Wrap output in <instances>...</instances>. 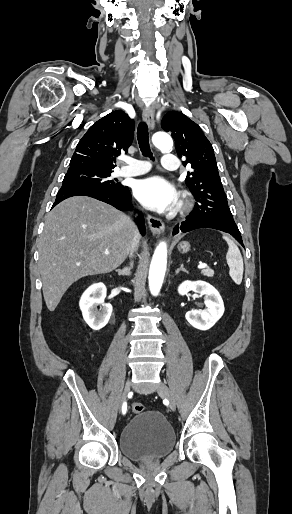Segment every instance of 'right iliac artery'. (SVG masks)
Instances as JSON below:
<instances>
[{
  "label": "right iliac artery",
  "instance_id": "right-iliac-artery-1",
  "mask_svg": "<svg viewBox=\"0 0 292 514\" xmlns=\"http://www.w3.org/2000/svg\"><path fill=\"white\" fill-rule=\"evenodd\" d=\"M127 411V403L124 402L123 405H122V413L125 414Z\"/></svg>",
  "mask_w": 292,
  "mask_h": 514
}]
</instances>
